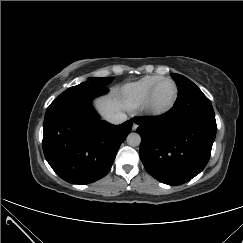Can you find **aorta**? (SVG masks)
<instances>
[{"label":"aorta","mask_w":243,"mask_h":243,"mask_svg":"<svg viewBox=\"0 0 243 243\" xmlns=\"http://www.w3.org/2000/svg\"><path fill=\"white\" fill-rule=\"evenodd\" d=\"M127 143L130 146L136 147L141 143V137L138 133H130L127 136Z\"/></svg>","instance_id":"762f6f07"}]
</instances>
